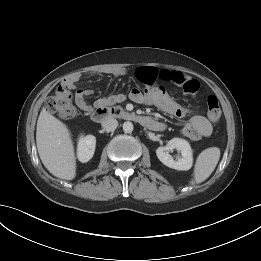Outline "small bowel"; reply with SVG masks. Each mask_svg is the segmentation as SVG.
<instances>
[{
    "instance_id": "1",
    "label": "small bowel",
    "mask_w": 261,
    "mask_h": 261,
    "mask_svg": "<svg viewBox=\"0 0 261 261\" xmlns=\"http://www.w3.org/2000/svg\"><path fill=\"white\" fill-rule=\"evenodd\" d=\"M106 74L112 76H122L125 70L122 68H114L105 71ZM139 80L144 83L151 84L157 77H161L165 81L173 82L181 86L186 95L195 96L199 89V82L191 76L179 71H164L159 73L155 68L142 67L136 72ZM78 78H74L69 82L73 86V82ZM92 93L91 90L77 89L76 90V103L80 110L84 112L91 111V106L87 103L86 97ZM130 98L138 103H150L159 107L161 110L177 117L184 118L190 116L189 120L183 126L181 133L184 137L193 141L207 138L212 133V125L210 121L202 115H192V112L183 108L175 101H173L167 93L161 88L147 89L144 92L134 88L129 94ZM125 96L121 93L112 94L108 97L98 100V104L117 103L122 102Z\"/></svg>"
}]
</instances>
